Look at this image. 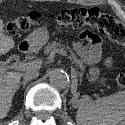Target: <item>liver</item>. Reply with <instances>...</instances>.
I'll list each match as a JSON object with an SVG mask.
<instances>
[{"label":"liver","instance_id":"1","mask_svg":"<svg viewBox=\"0 0 125 125\" xmlns=\"http://www.w3.org/2000/svg\"><path fill=\"white\" fill-rule=\"evenodd\" d=\"M15 47L11 36L5 35L3 21L0 19V56ZM22 73L9 71L0 73V119L7 116L12 106V99L20 82Z\"/></svg>","mask_w":125,"mask_h":125}]
</instances>
